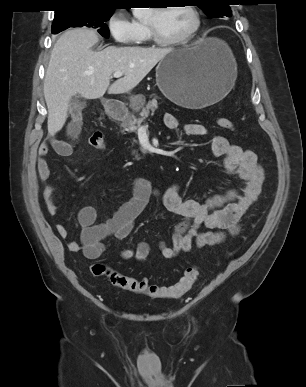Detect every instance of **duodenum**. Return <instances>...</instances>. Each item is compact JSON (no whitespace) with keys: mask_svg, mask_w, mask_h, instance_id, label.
<instances>
[{"mask_svg":"<svg viewBox=\"0 0 306 387\" xmlns=\"http://www.w3.org/2000/svg\"><path fill=\"white\" fill-rule=\"evenodd\" d=\"M107 113L110 118L119 121L124 118L126 111L123 107L115 104H109L107 106Z\"/></svg>","mask_w":306,"mask_h":387,"instance_id":"1","label":"duodenum"}]
</instances>
